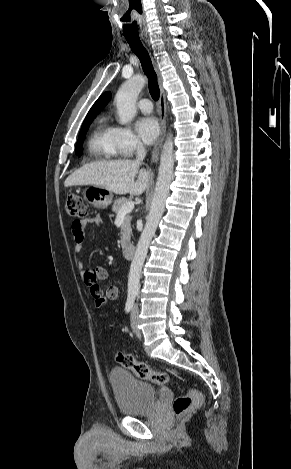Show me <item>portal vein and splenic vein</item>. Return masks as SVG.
I'll use <instances>...</instances> for the list:
<instances>
[{
	"label": "portal vein and splenic vein",
	"mask_w": 291,
	"mask_h": 469,
	"mask_svg": "<svg viewBox=\"0 0 291 469\" xmlns=\"http://www.w3.org/2000/svg\"><path fill=\"white\" fill-rule=\"evenodd\" d=\"M134 208V202H127L124 206L119 211V214H126L129 213L133 210Z\"/></svg>",
	"instance_id": "obj_1"
}]
</instances>
